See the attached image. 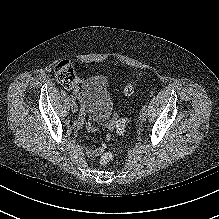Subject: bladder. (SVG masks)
Returning <instances> with one entry per match:
<instances>
[{"mask_svg":"<svg viewBox=\"0 0 219 219\" xmlns=\"http://www.w3.org/2000/svg\"><path fill=\"white\" fill-rule=\"evenodd\" d=\"M87 113L95 120L106 121L114 112V101L106 79L100 74L86 77L81 87Z\"/></svg>","mask_w":219,"mask_h":219,"instance_id":"bladder-1","label":"bladder"}]
</instances>
